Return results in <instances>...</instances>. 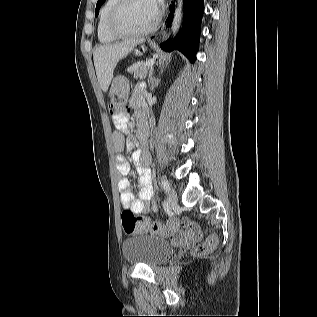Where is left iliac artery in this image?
Returning <instances> with one entry per match:
<instances>
[{
    "instance_id": "obj_1",
    "label": "left iliac artery",
    "mask_w": 317,
    "mask_h": 317,
    "mask_svg": "<svg viewBox=\"0 0 317 317\" xmlns=\"http://www.w3.org/2000/svg\"><path fill=\"white\" fill-rule=\"evenodd\" d=\"M161 186L163 188L164 191H168L169 190V182L166 179H161Z\"/></svg>"
}]
</instances>
